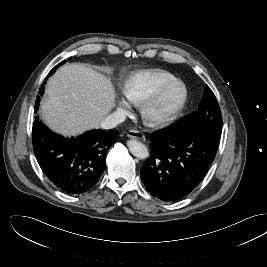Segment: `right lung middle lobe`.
<instances>
[{"label": "right lung middle lobe", "mask_w": 267, "mask_h": 267, "mask_svg": "<svg viewBox=\"0 0 267 267\" xmlns=\"http://www.w3.org/2000/svg\"><path fill=\"white\" fill-rule=\"evenodd\" d=\"M63 63H65V60L64 61H62L61 63H59L56 67H58V66H60V65H62ZM56 67H54L50 72H49V75H52L54 72H55V70H56ZM49 75L47 76V77H49ZM44 84H45V82H43V85H42V88H41V91H39V94H43V90H44ZM39 96H38V100H36V105H35V109L37 108V106H38V103H39Z\"/></svg>", "instance_id": "obj_1"}]
</instances>
